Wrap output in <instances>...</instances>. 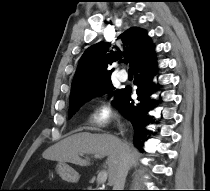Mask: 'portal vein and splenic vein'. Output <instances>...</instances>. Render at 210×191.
<instances>
[{
	"label": "portal vein and splenic vein",
	"instance_id": "1",
	"mask_svg": "<svg viewBox=\"0 0 210 191\" xmlns=\"http://www.w3.org/2000/svg\"><path fill=\"white\" fill-rule=\"evenodd\" d=\"M94 157L95 158H101L100 155H94ZM107 176H108V173L105 170L99 172V174L97 176V183L98 184L104 183L106 181V179H107Z\"/></svg>",
	"mask_w": 210,
	"mask_h": 191
}]
</instances>
